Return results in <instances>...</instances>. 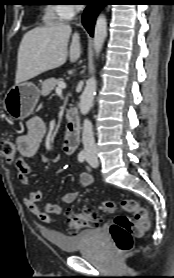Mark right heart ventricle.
Here are the masks:
<instances>
[{
  "label": "right heart ventricle",
  "mask_w": 174,
  "mask_h": 278,
  "mask_svg": "<svg viewBox=\"0 0 174 278\" xmlns=\"http://www.w3.org/2000/svg\"><path fill=\"white\" fill-rule=\"evenodd\" d=\"M44 20L49 23H55L62 20V17L59 14L58 5H49L45 8Z\"/></svg>",
  "instance_id": "obj_1"
}]
</instances>
